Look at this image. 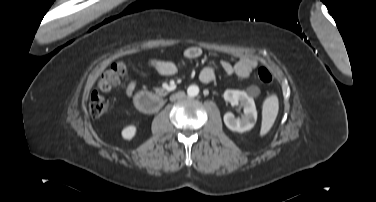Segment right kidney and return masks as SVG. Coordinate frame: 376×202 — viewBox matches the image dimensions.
<instances>
[{"instance_id": "1", "label": "right kidney", "mask_w": 376, "mask_h": 202, "mask_svg": "<svg viewBox=\"0 0 376 202\" xmlns=\"http://www.w3.org/2000/svg\"><path fill=\"white\" fill-rule=\"evenodd\" d=\"M135 134L136 127L134 125L127 126L122 130V137L126 140H131Z\"/></svg>"}]
</instances>
